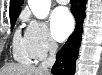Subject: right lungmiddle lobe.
Segmentation results:
<instances>
[{
  "label": "right lung middle lobe",
  "mask_w": 102,
  "mask_h": 75,
  "mask_svg": "<svg viewBox=\"0 0 102 75\" xmlns=\"http://www.w3.org/2000/svg\"><path fill=\"white\" fill-rule=\"evenodd\" d=\"M18 15H15V16H10V21H11V30L13 29L14 27V24L16 22V19H17Z\"/></svg>",
  "instance_id": "dd1d6c3e"
}]
</instances>
